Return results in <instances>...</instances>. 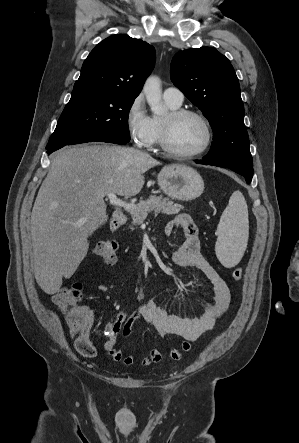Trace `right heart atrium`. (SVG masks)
Segmentation results:
<instances>
[{
  "mask_svg": "<svg viewBox=\"0 0 299 443\" xmlns=\"http://www.w3.org/2000/svg\"><path fill=\"white\" fill-rule=\"evenodd\" d=\"M124 120L127 133L134 145L147 148L153 139V124L142 94L132 99L126 108Z\"/></svg>",
  "mask_w": 299,
  "mask_h": 443,
  "instance_id": "obj_1",
  "label": "right heart atrium"
}]
</instances>
